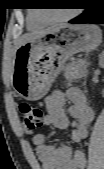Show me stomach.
I'll return each mask as SVG.
<instances>
[{"label":"stomach","instance_id":"stomach-1","mask_svg":"<svg viewBox=\"0 0 104 169\" xmlns=\"http://www.w3.org/2000/svg\"><path fill=\"white\" fill-rule=\"evenodd\" d=\"M101 40L96 26L63 25L22 44L15 54L12 88L24 99H41L72 55L95 49Z\"/></svg>","mask_w":104,"mask_h":169}]
</instances>
